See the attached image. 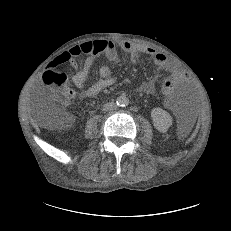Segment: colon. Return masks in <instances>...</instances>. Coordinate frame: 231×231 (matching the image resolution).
Here are the masks:
<instances>
[{
  "label": "colon",
  "instance_id": "5ec220e1",
  "mask_svg": "<svg viewBox=\"0 0 231 231\" xmlns=\"http://www.w3.org/2000/svg\"><path fill=\"white\" fill-rule=\"evenodd\" d=\"M66 60L63 55L60 63ZM67 77L64 72L55 68H49L43 74L44 83L49 86L47 90L48 106L42 112L43 122L50 129H62L70 122L68 113L64 107L69 105L72 98L71 90L66 86ZM176 89V82L173 79H165L162 82L161 90L169 95Z\"/></svg>",
  "mask_w": 231,
  "mask_h": 231
}]
</instances>
